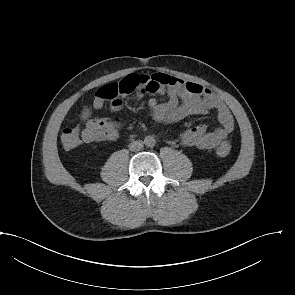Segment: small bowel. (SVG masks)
<instances>
[{
	"label": "small bowel",
	"mask_w": 295,
	"mask_h": 295,
	"mask_svg": "<svg viewBox=\"0 0 295 295\" xmlns=\"http://www.w3.org/2000/svg\"><path fill=\"white\" fill-rule=\"evenodd\" d=\"M137 96L158 94L167 97L165 102L150 98L148 106L154 119L163 123H174L191 115H202L210 110L216 111L220 127L208 131L204 125L191 127L180 134L181 144L186 147H196L210 150L225 142L234 129V117L226 103L213 91L194 82L184 81L164 73L141 75ZM104 101L95 95L91 107L85 108L81 114L87 125L84 142L112 141L118 136L122 121L109 118L92 117L93 110L103 107ZM122 106L120 100L111 103V110Z\"/></svg>",
	"instance_id": "small-bowel-1"
}]
</instances>
